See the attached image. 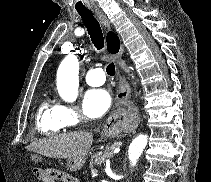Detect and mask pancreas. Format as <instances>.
I'll return each mask as SVG.
<instances>
[{"mask_svg": "<svg viewBox=\"0 0 211 182\" xmlns=\"http://www.w3.org/2000/svg\"><path fill=\"white\" fill-rule=\"evenodd\" d=\"M115 148H116V145H112L104 149L103 151L97 152L94 155H92L91 160H90L91 167H93V165H101L102 163L106 161L107 158H112L113 151Z\"/></svg>", "mask_w": 211, "mask_h": 182, "instance_id": "1", "label": "pancreas"}]
</instances>
